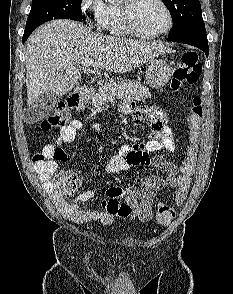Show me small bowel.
I'll return each instance as SVG.
<instances>
[{"label":"small bowel","mask_w":233,"mask_h":294,"mask_svg":"<svg viewBox=\"0 0 233 294\" xmlns=\"http://www.w3.org/2000/svg\"><path fill=\"white\" fill-rule=\"evenodd\" d=\"M121 112L131 115L134 122L138 124L143 117L150 123L149 140L141 144L123 145L118 152L113 154L107 164V171L115 174L126 171L136 165H153L165 174L164 177L147 176L143 179V187L134 186L107 188L108 199L103 202V211H95L87 208L85 204L90 201L93 191H84L76 198L68 200L56 188L53 175L58 169L59 162H65L67 155L61 149V144L72 143L77 134L86 130V124L81 120H73L62 127L54 143L44 147L43 153L46 161L36 162V171L43 181L46 191L61 214L70 221L82 224L91 220L109 224L115 217L137 218L142 222L150 221L153 217V198L161 189H173L178 186L179 168L172 161L162 155H156L152 159L149 153L166 150L175 152L174 135L167 125L165 113L157 108L151 107V103H140V108L131 102L124 101L120 106ZM96 129H101L100 124H95ZM123 198L121 202L119 199ZM125 204L130 212L123 214L120 206Z\"/></svg>","instance_id":"small-bowel-1"}]
</instances>
